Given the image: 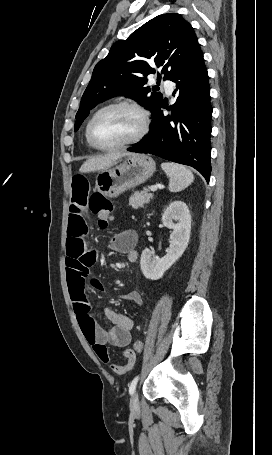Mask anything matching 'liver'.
I'll list each match as a JSON object with an SVG mask.
<instances>
[{
    "mask_svg": "<svg viewBox=\"0 0 272 455\" xmlns=\"http://www.w3.org/2000/svg\"><path fill=\"white\" fill-rule=\"evenodd\" d=\"M131 153H116L97 156L86 160L79 169L80 173L107 170L117 163V160L123 156H131Z\"/></svg>",
    "mask_w": 272,
    "mask_h": 455,
    "instance_id": "obj_1",
    "label": "liver"
}]
</instances>
